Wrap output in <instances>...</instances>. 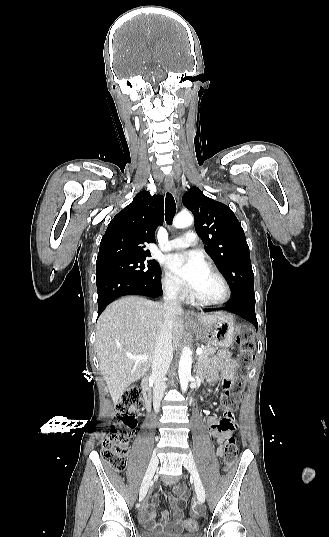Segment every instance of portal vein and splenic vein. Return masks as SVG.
Masks as SVG:
<instances>
[{
  "instance_id": "obj_1",
  "label": "portal vein and splenic vein",
  "mask_w": 329,
  "mask_h": 537,
  "mask_svg": "<svg viewBox=\"0 0 329 537\" xmlns=\"http://www.w3.org/2000/svg\"><path fill=\"white\" fill-rule=\"evenodd\" d=\"M203 352V350L201 348H198L196 353L197 355H201ZM126 356L135 361V362H143V361H146L148 359V356H145V355H140V356H137V355H132L130 353H127Z\"/></svg>"
}]
</instances>
